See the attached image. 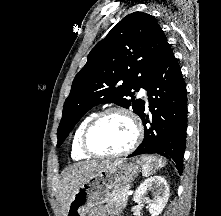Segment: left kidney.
I'll return each instance as SVG.
<instances>
[{
  "mask_svg": "<svg viewBox=\"0 0 221 216\" xmlns=\"http://www.w3.org/2000/svg\"><path fill=\"white\" fill-rule=\"evenodd\" d=\"M148 191H152L153 200L146 196ZM169 198V185L164 177L153 176L146 179L136 190L133 200L136 203H148L151 216H158L164 209Z\"/></svg>",
  "mask_w": 221,
  "mask_h": 216,
  "instance_id": "left-kidney-1",
  "label": "left kidney"
}]
</instances>
